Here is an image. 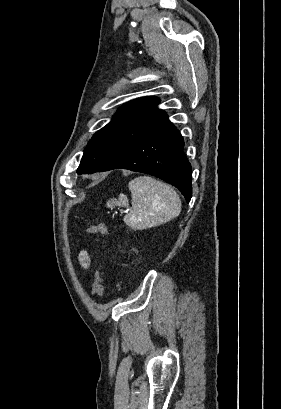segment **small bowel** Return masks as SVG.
<instances>
[{
    "instance_id": "obj_1",
    "label": "small bowel",
    "mask_w": 281,
    "mask_h": 409,
    "mask_svg": "<svg viewBox=\"0 0 281 409\" xmlns=\"http://www.w3.org/2000/svg\"><path fill=\"white\" fill-rule=\"evenodd\" d=\"M78 260L81 267L87 270L90 266V256L87 251L81 250L78 254Z\"/></svg>"
}]
</instances>
